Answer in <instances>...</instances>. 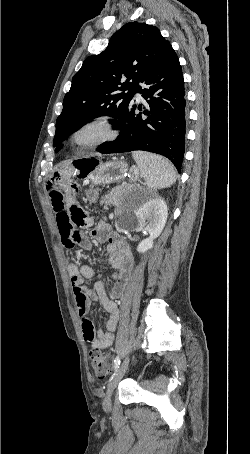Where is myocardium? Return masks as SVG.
<instances>
[{
    "mask_svg": "<svg viewBox=\"0 0 250 454\" xmlns=\"http://www.w3.org/2000/svg\"><path fill=\"white\" fill-rule=\"evenodd\" d=\"M87 132L95 135L82 141L81 137ZM117 137V130L108 115H96L80 123L71 133L70 142L79 150H89L105 144Z\"/></svg>",
    "mask_w": 250,
    "mask_h": 454,
    "instance_id": "1",
    "label": "myocardium"
}]
</instances>
